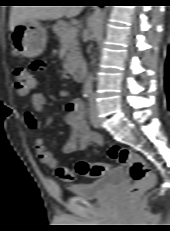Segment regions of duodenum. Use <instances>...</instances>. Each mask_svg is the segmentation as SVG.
<instances>
[{
    "label": "duodenum",
    "mask_w": 170,
    "mask_h": 231,
    "mask_svg": "<svg viewBox=\"0 0 170 231\" xmlns=\"http://www.w3.org/2000/svg\"><path fill=\"white\" fill-rule=\"evenodd\" d=\"M69 69L75 78L79 80H82L84 78L86 69L83 63H77L75 66L69 67Z\"/></svg>",
    "instance_id": "duodenum-1"
}]
</instances>
